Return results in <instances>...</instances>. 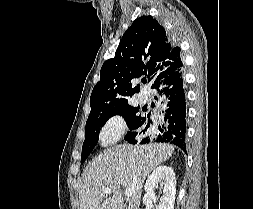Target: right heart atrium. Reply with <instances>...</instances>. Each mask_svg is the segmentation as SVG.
I'll return each instance as SVG.
<instances>
[{
    "label": "right heart atrium",
    "mask_w": 253,
    "mask_h": 209,
    "mask_svg": "<svg viewBox=\"0 0 253 209\" xmlns=\"http://www.w3.org/2000/svg\"><path fill=\"white\" fill-rule=\"evenodd\" d=\"M126 123L122 116L110 117L99 131V141L102 146H108L118 142L124 135Z\"/></svg>",
    "instance_id": "d8ad5b80"
}]
</instances>
